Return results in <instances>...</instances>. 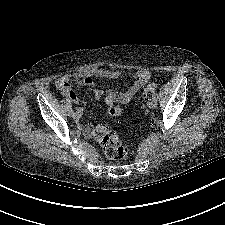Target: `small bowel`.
Wrapping results in <instances>:
<instances>
[{"label": "small bowel", "instance_id": "obj_1", "mask_svg": "<svg viewBox=\"0 0 225 225\" xmlns=\"http://www.w3.org/2000/svg\"><path fill=\"white\" fill-rule=\"evenodd\" d=\"M121 71L115 69H92L89 71L73 74H65L56 79L55 85L64 95L68 96L75 104L82 106L83 102L72 91L71 84L78 83L82 86L93 87V95L96 99L104 96V91L95 87L94 78L117 79L121 76ZM150 74L147 70H138L133 74V83L125 91L109 90L106 93L105 102L110 107L114 104H126L140 91L148 82ZM81 110V108H80ZM87 135H91L93 127L87 125L84 127Z\"/></svg>", "mask_w": 225, "mask_h": 225}]
</instances>
